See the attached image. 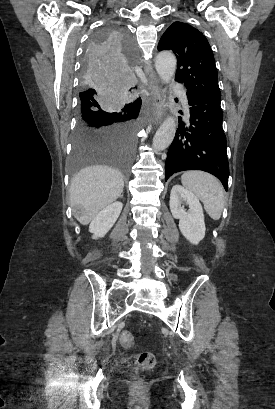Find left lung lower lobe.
<instances>
[{
	"instance_id": "1",
	"label": "left lung lower lobe",
	"mask_w": 275,
	"mask_h": 409,
	"mask_svg": "<svg viewBox=\"0 0 275 409\" xmlns=\"http://www.w3.org/2000/svg\"><path fill=\"white\" fill-rule=\"evenodd\" d=\"M186 94L191 106L190 126L185 128L179 121L166 158L165 181L180 171L203 170L219 178L227 190L229 165L220 100L193 91Z\"/></svg>"
}]
</instances>
